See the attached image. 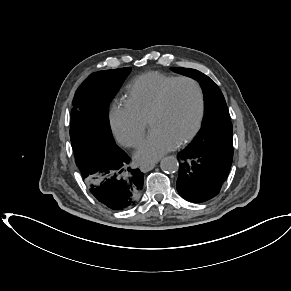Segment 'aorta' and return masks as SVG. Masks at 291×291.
I'll use <instances>...</instances> for the list:
<instances>
[{
  "mask_svg": "<svg viewBox=\"0 0 291 291\" xmlns=\"http://www.w3.org/2000/svg\"><path fill=\"white\" fill-rule=\"evenodd\" d=\"M160 168L164 172L175 173L179 169V164L174 156H167L161 160Z\"/></svg>",
  "mask_w": 291,
  "mask_h": 291,
  "instance_id": "1",
  "label": "aorta"
}]
</instances>
